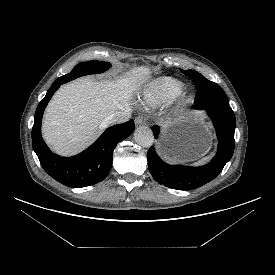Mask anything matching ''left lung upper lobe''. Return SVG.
<instances>
[{
	"mask_svg": "<svg viewBox=\"0 0 275 275\" xmlns=\"http://www.w3.org/2000/svg\"><path fill=\"white\" fill-rule=\"evenodd\" d=\"M192 78L197 88L196 103L207 102L218 106H229L228 99L218 84L207 80L203 75L194 70H182Z\"/></svg>",
	"mask_w": 275,
	"mask_h": 275,
	"instance_id": "1",
	"label": "left lung upper lobe"
}]
</instances>
